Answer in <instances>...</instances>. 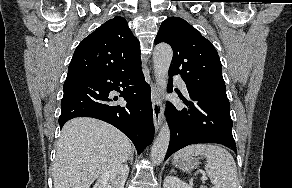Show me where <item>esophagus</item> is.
Instances as JSON below:
<instances>
[{
	"mask_svg": "<svg viewBox=\"0 0 292 188\" xmlns=\"http://www.w3.org/2000/svg\"><path fill=\"white\" fill-rule=\"evenodd\" d=\"M151 102L153 109L154 128L157 132L162 124L163 107L160 91L155 83H152L151 85Z\"/></svg>",
	"mask_w": 292,
	"mask_h": 188,
	"instance_id": "34e87169",
	"label": "esophagus"
}]
</instances>
